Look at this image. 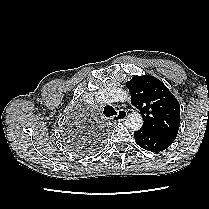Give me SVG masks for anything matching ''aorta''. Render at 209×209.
<instances>
[{"instance_id": "obj_1", "label": "aorta", "mask_w": 209, "mask_h": 209, "mask_svg": "<svg viewBox=\"0 0 209 209\" xmlns=\"http://www.w3.org/2000/svg\"><path fill=\"white\" fill-rule=\"evenodd\" d=\"M129 96V93L115 87H109L102 89L97 94L98 101L102 103H114L124 101ZM143 119L142 115L138 111H134L129 114L125 119V125L132 131H137L142 127Z\"/></svg>"}]
</instances>
